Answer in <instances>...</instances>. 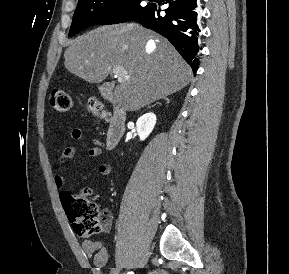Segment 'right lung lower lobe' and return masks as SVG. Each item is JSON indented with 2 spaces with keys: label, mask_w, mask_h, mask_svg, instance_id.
Returning <instances> with one entry per match:
<instances>
[{
  "label": "right lung lower lobe",
  "mask_w": 289,
  "mask_h": 274,
  "mask_svg": "<svg viewBox=\"0 0 289 274\" xmlns=\"http://www.w3.org/2000/svg\"><path fill=\"white\" fill-rule=\"evenodd\" d=\"M168 4L160 15L155 3H150L136 19L146 28L153 29L166 37L190 65L195 74L198 69L199 51L198 0H162Z\"/></svg>",
  "instance_id": "1"
}]
</instances>
